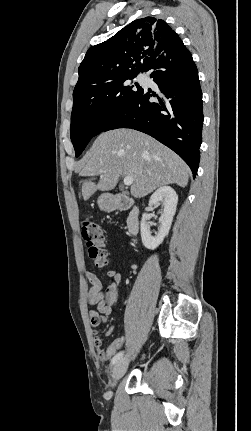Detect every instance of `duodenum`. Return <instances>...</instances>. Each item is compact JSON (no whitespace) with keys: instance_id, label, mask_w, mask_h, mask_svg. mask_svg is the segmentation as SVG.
Returning <instances> with one entry per match:
<instances>
[{"instance_id":"duodenum-1","label":"duodenum","mask_w":251,"mask_h":431,"mask_svg":"<svg viewBox=\"0 0 251 431\" xmlns=\"http://www.w3.org/2000/svg\"><path fill=\"white\" fill-rule=\"evenodd\" d=\"M110 208L121 211H129L126 220L127 229L132 237L136 236L139 228L138 209L134 205L133 201L124 195H116L110 202Z\"/></svg>"}]
</instances>
